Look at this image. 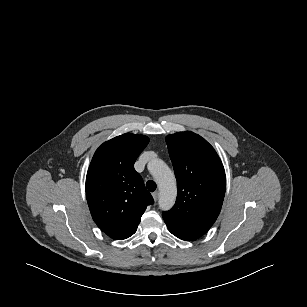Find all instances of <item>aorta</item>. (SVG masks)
Instances as JSON below:
<instances>
[{"label":"aorta","instance_id":"obj_1","mask_svg":"<svg viewBox=\"0 0 307 307\" xmlns=\"http://www.w3.org/2000/svg\"><path fill=\"white\" fill-rule=\"evenodd\" d=\"M148 169L155 178L159 188V207L162 210L171 209L177 196V186L174 173L161 159L150 161L148 163Z\"/></svg>","mask_w":307,"mask_h":307}]
</instances>
